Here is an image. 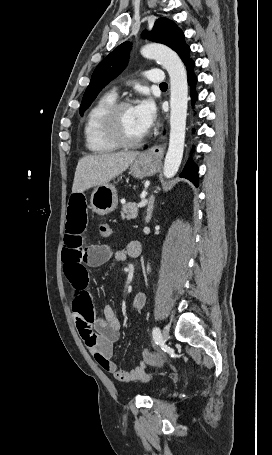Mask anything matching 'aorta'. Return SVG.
<instances>
[{"label":"aorta","mask_w":272,"mask_h":455,"mask_svg":"<svg viewBox=\"0 0 272 455\" xmlns=\"http://www.w3.org/2000/svg\"><path fill=\"white\" fill-rule=\"evenodd\" d=\"M145 58L157 60L170 77V139L164 161V176L172 178L180 167L186 130L188 82L187 73L180 57L161 44H147L141 48Z\"/></svg>","instance_id":"obj_1"}]
</instances>
